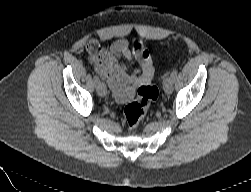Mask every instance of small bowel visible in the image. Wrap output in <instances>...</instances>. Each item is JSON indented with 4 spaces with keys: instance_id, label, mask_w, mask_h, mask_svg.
Returning <instances> with one entry per match:
<instances>
[{
    "instance_id": "small-bowel-1",
    "label": "small bowel",
    "mask_w": 251,
    "mask_h": 192,
    "mask_svg": "<svg viewBox=\"0 0 251 192\" xmlns=\"http://www.w3.org/2000/svg\"><path fill=\"white\" fill-rule=\"evenodd\" d=\"M86 49L95 72L108 83L119 102L130 100L135 87L153 78L154 68L150 53L140 43L131 50L128 42L120 39L106 48L92 39ZM122 58L136 62L139 67L133 73H128L121 62Z\"/></svg>"
}]
</instances>
